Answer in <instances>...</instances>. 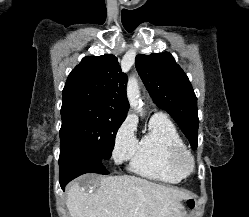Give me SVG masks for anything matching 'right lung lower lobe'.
<instances>
[{"mask_svg":"<svg viewBox=\"0 0 249 217\" xmlns=\"http://www.w3.org/2000/svg\"><path fill=\"white\" fill-rule=\"evenodd\" d=\"M60 186L64 190L66 184L81 174L92 172L109 174L102 161L93 153L76 145L60 146Z\"/></svg>","mask_w":249,"mask_h":217,"instance_id":"obj_1","label":"right lung lower lobe"}]
</instances>
